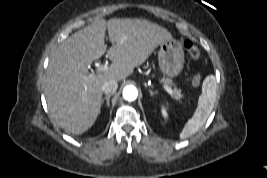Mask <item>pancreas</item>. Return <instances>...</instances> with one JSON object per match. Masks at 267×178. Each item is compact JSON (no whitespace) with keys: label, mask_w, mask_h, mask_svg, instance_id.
Segmentation results:
<instances>
[{"label":"pancreas","mask_w":267,"mask_h":178,"mask_svg":"<svg viewBox=\"0 0 267 178\" xmlns=\"http://www.w3.org/2000/svg\"><path fill=\"white\" fill-rule=\"evenodd\" d=\"M161 81L164 82L166 85H173L172 80L169 78L167 79L162 78ZM172 97L175 98L176 100H181L183 98V95L181 94V90L175 87L173 89Z\"/></svg>","instance_id":"1"}]
</instances>
